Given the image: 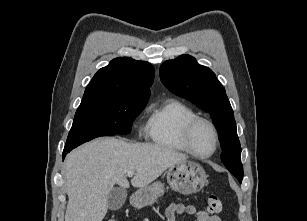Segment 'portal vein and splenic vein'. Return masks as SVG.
I'll return each mask as SVG.
<instances>
[{"label":"portal vein and splenic vein","instance_id":"18ae733b","mask_svg":"<svg viewBox=\"0 0 307 221\" xmlns=\"http://www.w3.org/2000/svg\"><path fill=\"white\" fill-rule=\"evenodd\" d=\"M134 175V172L133 171H129L128 173H127V176L128 177H132Z\"/></svg>","mask_w":307,"mask_h":221}]
</instances>
